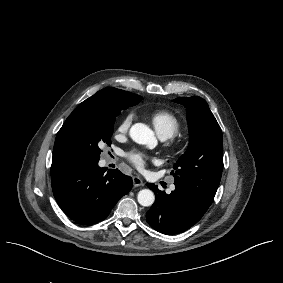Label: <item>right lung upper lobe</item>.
I'll return each instance as SVG.
<instances>
[{
    "mask_svg": "<svg viewBox=\"0 0 283 283\" xmlns=\"http://www.w3.org/2000/svg\"><path fill=\"white\" fill-rule=\"evenodd\" d=\"M139 99H142L139 95L109 87L98 91L96 94L79 104L69 115L57 133L53 149L51 174L68 170L80 164L73 155L66 137V129L72 119L84 113L106 110L113 106L120 105L121 103Z\"/></svg>",
    "mask_w": 283,
    "mask_h": 283,
    "instance_id": "1",
    "label": "right lung upper lobe"
}]
</instances>
